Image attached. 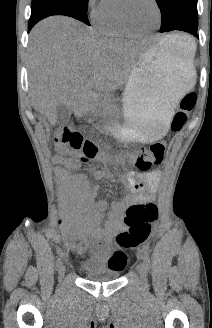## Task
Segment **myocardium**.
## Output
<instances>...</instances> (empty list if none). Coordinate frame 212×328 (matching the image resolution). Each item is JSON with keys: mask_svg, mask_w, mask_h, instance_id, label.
I'll list each match as a JSON object with an SVG mask.
<instances>
[{"mask_svg": "<svg viewBox=\"0 0 212 328\" xmlns=\"http://www.w3.org/2000/svg\"><path fill=\"white\" fill-rule=\"evenodd\" d=\"M124 2H125V0H119L118 13H119V16H120V19H121L123 25L129 31H131L135 34H148V33H151V32H153L154 30H156L160 27L161 22H162V11H161L160 5H159L157 0H151V2L153 3V5L156 9V12H157V15H158V21H157V24L154 27L150 28V29H139V28L135 27L130 22V20L127 16V13L125 11Z\"/></svg>", "mask_w": 212, "mask_h": 328, "instance_id": "1", "label": "myocardium"}]
</instances>
